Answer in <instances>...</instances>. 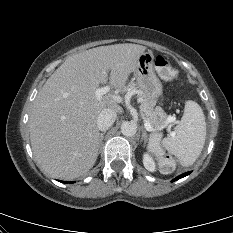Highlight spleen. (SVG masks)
<instances>
[{"label":"spleen","mask_w":233,"mask_h":233,"mask_svg":"<svg viewBox=\"0 0 233 233\" xmlns=\"http://www.w3.org/2000/svg\"><path fill=\"white\" fill-rule=\"evenodd\" d=\"M175 134L158 142L150 136L148 149L159 159L161 171L169 174L174 170V161L162 155L161 147L174 155L182 166L192 165L199 157L206 139V122L202 108L195 101L185 102L184 114L175 127Z\"/></svg>","instance_id":"1"}]
</instances>
